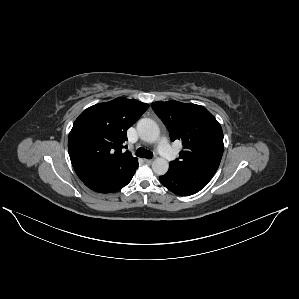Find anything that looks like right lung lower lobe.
Instances as JSON below:
<instances>
[{"instance_id": "right-lung-lower-lobe-1", "label": "right lung lower lobe", "mask_w": 299, "mask_h": 299, "mask_svg": "<svg viewBox=\"0 0 299 299\" xmlns=\"http://www.w3.org/2000/svg\"><path fill=\"white\" fill-rule=\"evenodd\" d=\"M137 168H138V163L127 169L108 172L99 177L83 181V183L88 188L96 192H100V193L116 192L131 181Z\"/></svg>"}]
</instances>
